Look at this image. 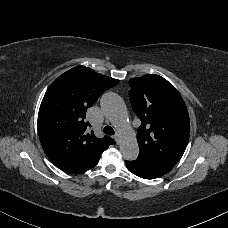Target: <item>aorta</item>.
<instances>
[{
	"label": "aorta",
	"mask_w": 228,
	"mask_h": 228,
	"mask_svg": "<svg viewBox=\"0 0 228 228\" xmlns=\"http://www.w3.org/2000/svg\"><path fill=\"white\" fill-rule=\"evenodd\" d=\"M101 108L106 117L120 132V153L126 160L132 161L138 157L139 146L135 132L127 122V109L122 98L112 92L103 94Z\"/></svg>",
	"instance_id": "aorta-1"
}]
</instances>
